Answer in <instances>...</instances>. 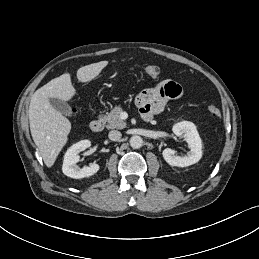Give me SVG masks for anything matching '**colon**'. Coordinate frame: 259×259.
Returning <instances> with one entry per match:
<instances>
[{"label":"colon","instance_id":"colon-1","mask_svg":"<svg viewBox=\"0 0 259 259\" xmlns=\"http://www.w3.org/2000/svg\"><path fill=\"white\" fill-rule=\"evenodd\" d=\"M142 71L151 77H158L161 74V68L157 65H145L142 67ZM207 110L214 117H218L221 114L220 109L214 104L208 105Z\"/></svg>","mask_w":259,"mask_h":259}]
</instances>
